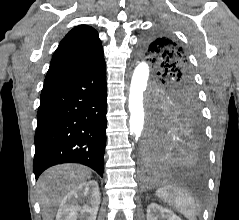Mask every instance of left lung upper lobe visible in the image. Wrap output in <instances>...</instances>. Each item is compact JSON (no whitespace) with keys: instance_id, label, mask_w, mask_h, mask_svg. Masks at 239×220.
<instances>
[{"instance_id":"obj_1","label":"left lung upper lobe","mask_w":239,"mask_h":220,"mask_svg":"<svg viewBox=\"0 0 239 220\" xmlns=\"http://www.w3.org/2000/svg\"><path fill=\"white\" fill-rule=\"evenodd\" d=\"M141 50L163 78L154 93V106L166 112H199L193 70L180 43L170 33L155 30L143 37Z\"/></svg>"}]
</instances>
